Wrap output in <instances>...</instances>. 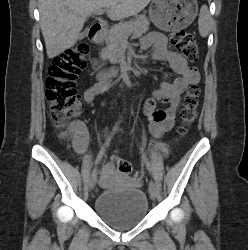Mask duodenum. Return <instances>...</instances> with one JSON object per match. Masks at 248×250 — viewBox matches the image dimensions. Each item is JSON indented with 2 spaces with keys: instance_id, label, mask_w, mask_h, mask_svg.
I'll return each instance as SVG.
<instances>
[{
  "instance_id": "410a0bca",
  "label": "duodenum",
  "mask_w": 248,
  "mask_h": 250,
  "mask_svg": "<svg viewBox=\"0 0 248 250\" xmlns=\"http://www.w3.org/2000/svg\"><path fill=\"white\" fill-rule=\"evenodd\" d=\"M104 24L102 23H93L88 29V37L91 42L100 44L101 43V33L103 31ZM96 67V64H93V68ZM121 73L119 67H112L105 70L96 71V78L99 82L105 83L108 82L111 78L118 76Z\"/></svg>"
}]
</instances>
